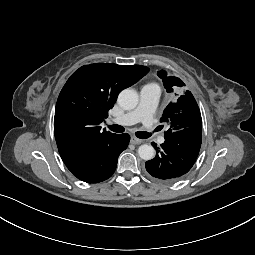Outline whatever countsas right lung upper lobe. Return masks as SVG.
I'll return each mask as SVG.
<instances>
[{"mask_svg":"<svg viewBox=\"0 0 255 255\" xmlns=\"http://www.w3.org/2000/svg\"><path fill=\"white\" fill-rule=\"evenodd\" d=\"M148 71L141 65L96 63L82 66L70 76L59 94L54 117L55 139L64 162L116 138L118 134L102 131L99 124L119 92Z\"/></svg>","mask_w":255,"mask_h":255,"instance_id":"obj_1","label":"right lung upper lobe"}]
</instances>
